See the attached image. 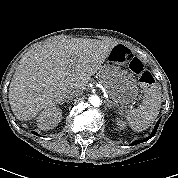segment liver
<instances>
[{"label": "liver", "instance_id": "1", "mask_svg": "<svg viewBox=\"0 0 178 178\" xmlns=\"http://www.w3.org/2000/svg\"><path fill=\"white\" fill-rule=\"evenodd\" d=\"M116 41L60 39L46 42L16 69L9 103L17 119H34L60 104L73 89L83 92L100 70Z\"/></svg>", "mask_w": 178, "mask_h": 178}]
</instances>
